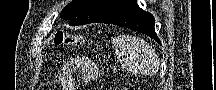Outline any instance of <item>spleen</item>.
Segmentation results:
<instances>
[{
  "mask_svg": "<svg viewBox=\"0 0 216 90\" xmlns=\"http://www.w3.org/2000/svg\"><path fill=\"white\" fill-rule=\"evenodd\" d=\"M115 54L123 62L128 72H136L147 76L150 68L157 60V56L145 40L132 36H117L113 42Z\"/></svg>",
  "mask_w": 216,
  "mask_h": 90,
  "instance_id": "1",
  "label": "spleen"
}]
</instances>
